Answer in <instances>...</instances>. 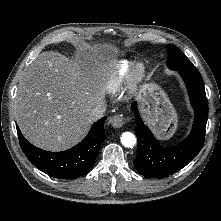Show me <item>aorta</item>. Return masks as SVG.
Wrapping results in <instances>:
<instances>
[{
	"mask_svg": "<svg viewBox=\"0 0 221 221\" xmlns=\"http://www.w3.org/2000/svg\"><path fill=\"white\" fill-rule=\"evenodd\" d=\"M120 139L121 143L128 148H132L136 144V137L131 132H124Z\"/></svg>",
	"mask_w": 221,
	"mask_h": 221,
	"instance_id": "obj_1",
	"label": "aorta"
}]
</instances>
